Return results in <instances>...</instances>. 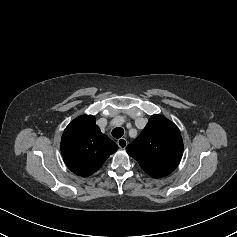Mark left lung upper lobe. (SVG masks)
Listing matches in <instances>:
<instances>
[{
  "label": "left lung upper lobe",
  "instance_id": "1",
  "mask_svg": "<svg viewBox=\"0 0 237 237\" xmlns=\"http://www.w3.org/2000/svg\"><path fill=\"white\" fill-rule=\"evenodd\" d=\"M126 151L147 174L161 178L178 166L183 153V141L173 122L163 116L153 115L138 139Z\"/></svg>",
  "mask_w": 237,
  "mask_h": 237
}]
</instances>
